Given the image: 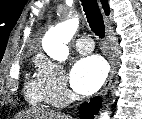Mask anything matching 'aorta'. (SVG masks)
<instances>
[{
  "instance_id": "1",
  "label": "aorta",
  "mask_w": 142,
  "mask_h": 119,
  "mask_svg": "<svg viewBox=\"0 0 142 119\" xmlns=\"http://www.w3.org/2000/svg\"><path fill=\"white\" fill-rule=\"evenodd\" d=\"M79 26V18L75 17L50 28L43 37L42 46L49 57L64 61L69 55L68 42ZM99 119H110L109 112L101 113Z\"/></svg>"
}]
</instances>
